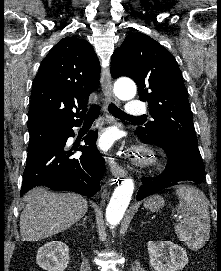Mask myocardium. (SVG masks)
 Wrapping results in <instances>:
<instances>
[{"label":"myocardium","instance_id":"myocardium-1","mask_svg":"<svg viewBox=\"0 0 221 271\" xmlns=\"http://www.w3.org/2000/svg\"><path fill=\"white\" fill-rule=\"evenodd\" d=\"M139 150L136 152L138 155L141 153L148 161L147 162V167H158L160 164L157 162V158L158 156H156V153L153 151L155 149V146L152 145L151 147H149V145H139L137 147ZM151 148V149H150ZM140 158L139 160L141 161V165H134L132 168L134 170H144L145 166H144V161L146 160L145 158ZM127 170L130 168L128 165L125 167Z\"/></svg>","mask_w":221,"mask_h":271}]
</instances>
